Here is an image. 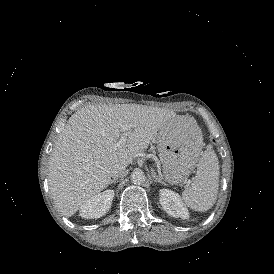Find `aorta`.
Wrapping results in <instances>:
<instances>
[{
  "label": "aorta",
  "instance_id": "obj_1",
  "mask_svg": "<svg viewBox=\"0 0 274 274\" xmlns=\"http://www.w3.org/2000/svg\"><path fill=\"white\" fill-rule=\"evenodd\" d=\"M131 180L134 184H141L145 181V175L142 170H134L131 174Z\"/></svg>",
  "mask_w": 274,
  "mask_h": 274
}]
</instances>
